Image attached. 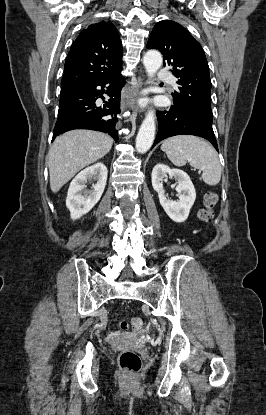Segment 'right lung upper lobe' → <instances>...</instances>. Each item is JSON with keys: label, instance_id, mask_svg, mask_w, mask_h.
Returning <instances> with one entry per match:
<instances>
[{"label": "right lung upper lobe", "instance_id": "1", "mask_svg": "<svg viewBox=\"0 0 266 415\" xmlns=\"http://www.w3.org/2000/svg\"><path fill=\"white\" fill-rule=\"evenodd\" d=\"M122 44L115 26L101 21L88 26L73 42L64 66L61 90L122 70Z\"/></svg>", "mask_w": 266, "mask_h": 415}]
</instances>
